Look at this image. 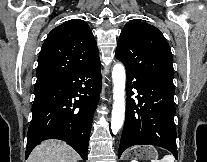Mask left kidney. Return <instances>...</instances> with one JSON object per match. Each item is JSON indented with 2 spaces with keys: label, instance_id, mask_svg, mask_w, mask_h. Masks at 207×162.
Wrapping results in <instances>:
<instances>
[{
  "label": "left kidney",
  "instance_id": "1",
  "mask_svg": "<svg viewBox=\"0 0 207 162\" xmlns=\"http://www.w3.org/2000/svg\"><path fill=\"white\" fill-rule=\"evenodd\" d=\"M131 162H138V161H136V160H132Z\"/></svg>",
  "mask_w": 207,
  "mask_h": 162
}]
</instances>
